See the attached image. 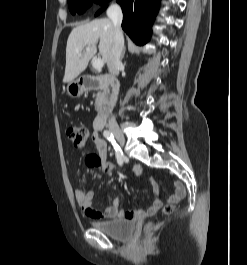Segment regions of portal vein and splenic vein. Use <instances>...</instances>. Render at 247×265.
<instances>
[{"instance_id":"18ae733b","label":"portal vein and splenic vein","mask_w":247,"mask_h":265,"mask_svg":"<svg viewBox=\"0 0 247 265\" xmlns=\"http://www.w3.org/2000/svg\"><path fill=\"white\" fill-rule=\"evenodd\" d=\"M89 50H90V47H86V51H89ZM78 55H81V53L79 52ZM103 65H104V62L102 59L96 58L93 60L92 66L94 69L100 70L102 69Z\"/></svg>"}]
</instances>
